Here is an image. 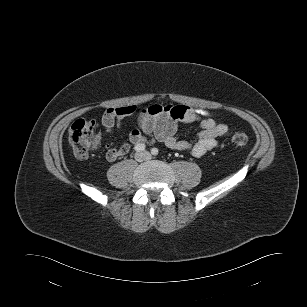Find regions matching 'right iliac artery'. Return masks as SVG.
Instances as JSON below:
<instances>
[{
    "label": "right iliac artery",
    "mask_w": 307,
    "mask_h": 307,
    "mask_svg": "<svg viewBox=\"0 0 307 307\" xmlns=\"http://www.w3.org/2000/svg\"><path fill=\"white\" fill-rule=\"evenodd\" d=\"M134 150L137 151V152L143 151V150H145V145L144 144H137V145H135Z\"/></svg>",
    "instance_id": "obj_1"
}]
</instances>
